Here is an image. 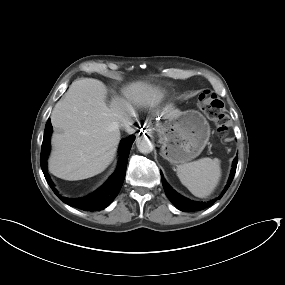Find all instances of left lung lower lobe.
Listing matches in <instances>:
<instances>
[{"instance_id":"left-lung-lower-lobe-1","label":"left lung lower lobe","mask_w":285,"mask_h":285,"mask_svg":"<svg viewBox=\"0 0 285 285\" xmlns=\"http://www.w3.org/2000/svg\"><path fill=\"white\" fill-rule=\"evenodd\" d=\"M237 162H238V157H235L233 160L232 170L230 173L228 183H227L225 189L223 190V193L220 196H222L227 191V189L229 188V186H230V184L234 178L235 172H236ZM161 175H162V173H161ZM161 179H162V184H163V187H164V190H165L167 197L175 205V207L181 211L191 212V211L203 210L204 208L210 206L211 204H213L215 202V200H212L208 203L191 201V200L181 196L180 194H178L175 190H173L167 184V182L165 181L163 176L161 177Z\"/></svg>"}]
</instances>
